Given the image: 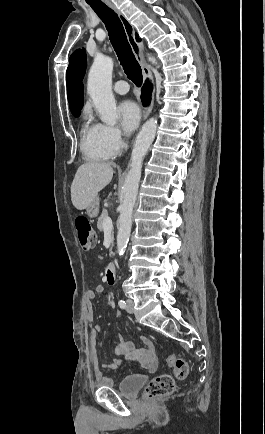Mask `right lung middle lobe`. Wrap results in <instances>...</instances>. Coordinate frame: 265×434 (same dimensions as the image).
<instances>
[{"mask_svg": "<svg viewBox=\"0 0 265 434\" xmlns=\"http://www.w3.org/2000/svg\"><path fill=\"white\" fill-rule=\"evenodd\" d=\"M82 106H83V103L70 105V110H71L73 116L78 117L80 115Z\"/></svg>", "mask_w": 265, "mask_h": 434, "instance_id": "right-lung-middle-lobe-1", "label": "right lung middle lobe"}]
</instances>
